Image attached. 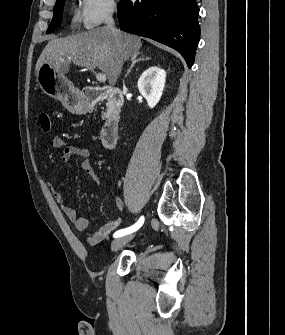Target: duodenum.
Returning <instances> with one entry per match:
<instances>
[{
	"mask_svg": "<svg viewBox=\"0 0 285 335\" xmlns=\"http://www.w3.org/2000/svg\"><path fill=\"white\" fill-rule=\"evenodd\" d=\"M107 101V116L102 125L100 139L108 149H113L119 139L120 110L123 104V95L119 88L114 86L89 87L82 93V106L85 109L95 104Z\"/></svg>",
	"mask_w": 285,
	"mask_h": 335,
	"instance_id": "1",
	"label": "duodenum"
}]
</instances>
